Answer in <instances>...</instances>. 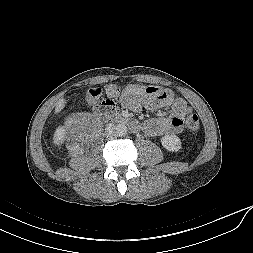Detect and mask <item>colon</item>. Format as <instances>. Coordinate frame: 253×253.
<instances>
[{
	"label": "colon",
	"mask_w": 253,
	"mask_h": 253,
	"mask_svg": "<svg viewBox=\"0 0 253 253\" xmlns=\"http://www.w3.org/2000/svg\"><path fill=\"white\" fill-rule=\"evenodd\" d=\"M159 86H144V85H128L123 89H120L116 85L110 84L104 88L96 87L88 90L86 98L89 102H97L103 94L108 96L110 99H128L132 97H140L147 95H160L162 92ZM186 126L191 131H197L199 129L200 123L199 118L196 114H190L186 118Z\"/></svg>",
	"instance_id": "colon-1"
}]
</instances>
